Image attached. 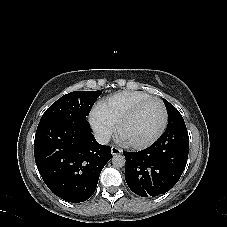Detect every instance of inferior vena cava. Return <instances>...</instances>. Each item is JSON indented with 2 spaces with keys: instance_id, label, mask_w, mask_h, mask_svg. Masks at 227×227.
<instances>
[{
  "instance_id": "inferior-vena-cava-1",
  "label": "inferior vena cava",
  "mask_w": 227,
  "mask_h": 227,
  "mask_svg": "<svg viewBox=\"0 0 227 227\" xmlns=\"http://www.w3.org/2000/svg\"><path fill=\"white\" fill-rule=\"evenodd\" d=\"M95 139L99 144H108L110 141V135L104 132H97L95 133Z\"/></svg>"
}]
</instances>
